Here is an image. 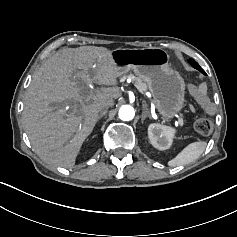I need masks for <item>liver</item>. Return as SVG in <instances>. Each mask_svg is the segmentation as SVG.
<instances>
[{"label":"liver","instance_id":"obj_1","mask_svg":"<svg viewBox=\"0 0 237 237\" xmlns=\"http://www.w3.org/2000/svg\"><path fill=\"white\" fill-rule=\"evenodd\" d=\"M112 52L95 46L65 48L49 57L33 76L22 120L32 148L43 162L73 167L104 110L100 103L119 99V75ZM89 80L106 87L83 98L80 89Z\"/></svg>","mask_w":237,"mask_h":237}]
</instances>
